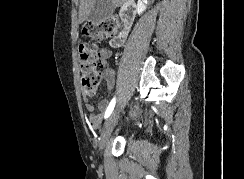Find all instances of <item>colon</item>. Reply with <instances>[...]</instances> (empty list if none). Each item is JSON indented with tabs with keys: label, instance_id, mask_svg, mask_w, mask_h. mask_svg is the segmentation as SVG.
<instances>
[{
	"label": "colon",
	"instance_id": "obj_1",
	"mask_svg": "<svg viewBox=\"0 0 244 179\" xmlns=\"http://www.w3.org/2000/svg\"><path fill=\"white\" fill-rule=\"evenodd\" d=\"M116 19H103L98 22H88L82 26L83 36L97 40L107 35L114 34L118 29ZM79 67L82 76V87L86 94L94 96L97 93L102 79V64L95 47L91 43L83 42L78 48ZM93 123H97V119L92 118Z\"/></svg>",
	"mask_w": 244,
	"mask_h": 179
}]
</instances>
